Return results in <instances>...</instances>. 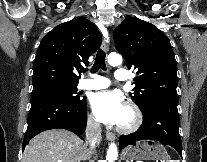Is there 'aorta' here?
<instances>
[{"mask_svg":"<svg viewBox=\"0 0 207 162\" xmlns=\"http://www.w3.org/2000/svg\"><path fill=\"white\" fill-rule=\"evenodd\" d=\"M108 63L111 66H119L122 64V56H120L118 54H110L108 56ZM117 157H118L117 146H116V144L111 143L108 147V150H107L106 160H107V162H113V161L117 160Z\"/></svg>","mask_w":207,"mask_h":162,"instance_id":"762f6f07","label":"aorta"}]
</instances>
